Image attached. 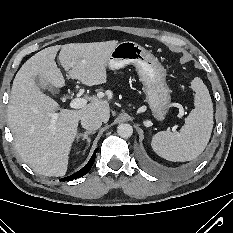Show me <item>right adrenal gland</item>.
<instances>
[{"mask_svg": "<svg viewBox=\"0 0 233 233\" xmlns=\"http://www.w3.org/2000/svg\"><path fill=\"white\" fill-rule=\"evenodd\" d=\"M95 131H86L85 133H79L77 135V139H79L80 137H83V140H87V147L90 145V138L88 137L90 134H94Z\"/></svg>", "mask_w": 233, "mask_h": 233, "instance_id": "2a0ac1e0", "label": "right adrenal gland"}]
</instances>
